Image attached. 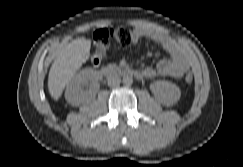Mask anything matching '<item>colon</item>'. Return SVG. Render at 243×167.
I'll use <instances>...</instances> for the list:
<instances>
[{
    "label": "colon",
    "mask_w": 243,
    "mask_h": 167,
    "mask_svg": "<svg viewBox=\"0 0 243 167\" xmlns=\"http://www.w3.org/2000/svg\"><path fill=\"white\" fill-rule=\"evenodd\" d=\"M111 39H113L119 46L127 47L132 41V31L130 28L125 26H119L116 28H98L94 33V52L90 59L93 66H98L102 62L106 56ZM192 80L193 75L191 73H187L185 76V81L187 83H191Z\"/></svg>",
    "instance_id": "colon-1"
}]
</instances>
